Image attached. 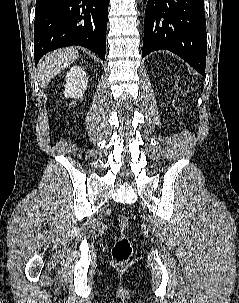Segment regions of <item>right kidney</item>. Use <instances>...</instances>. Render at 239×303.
Segmentation results:
<instances>
[{
  "label": "right kidney",
  "mask_w": 239,
  "mask_h": 303,
  "mask_svg": "<svg viewBox=\"0 0 239 303\" xmlns=\"http://www.w3.org/2000/svg\"><path fill=\"white\" fill-rule=\"evenodd\" d=\"M64 96L66 98L81 99L87 88L86 72L79 66H73L66 74Z\"/></svg>",
  "instance_id": "obj_1"
}]
</instances>
